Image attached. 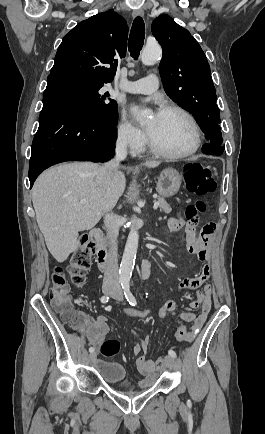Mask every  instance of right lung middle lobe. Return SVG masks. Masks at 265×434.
<instances>
[{"instance_id": "dd1d6c3e", "label": "right lung middle lobe", "mask_w": 265, "mask_h": 434, "mask_svg": "<svg viewBox=\"0 0 265 434\" xmlns=\"http://www.w3.org/2000/svg\"><path fill=\"white\" fill-rule=\"evenodd\" d=\"M105 81L85 75L59 74L48 77L43 99L54 97L69 103L83 117L97 123L116 126L117 103L108 100L100 89Z\"/></svg>"}]
</instances>
